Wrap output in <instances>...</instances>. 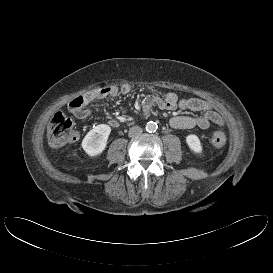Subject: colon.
<instances>
[{
  "mask_svg": "<svg viewBox=\"0 0 273 273\" xmlns=\"http://www.w3.org/2000/svg\"><path fill=\"white\" fill-rule=\"evenodd\" d=\"M72 101L75 106H79L82 97ZM47 138L52 146H62L76 140L77 133L72 120L63 112H56L50 119L47 128ZM210 140L212 145L217 148H222L227 144V137L221 131H214Z\"/></svg>",
  "mask_w": 273,
  "mask_h": 273,
  "instance_id": "colon-1",
  "label": "colon"
}]
</instances>
